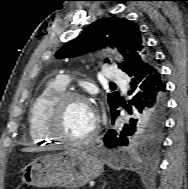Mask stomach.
Instances as JSON below:
<instances>
[{
  "label": "stomach",
  "instance_id": "0dacf381",
  "mask_svg": "<svg viewBox=\"0 0 188 189\" xmlns=\"http://www.w3.org/2000/svg\"><path fill=\"white\" fill-rule=\"evenodd\" d=\"M103 170L100 160L80 150H68L36 158L22 170L21 180L32 186H61L70 189L84 186Z\"/></svg>",
  "mask_w": 188,
  "mask_h": 189
}]
</instances>
